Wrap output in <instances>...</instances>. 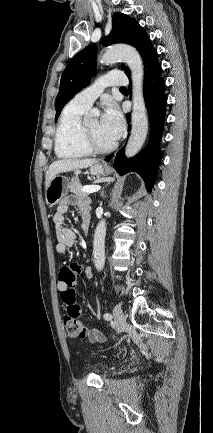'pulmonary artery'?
Wrapping results in <instances>:
<instances>
[{
	"label": "pulmonary artery",
	"mask_w": 213,
	"mask_h": 433,
	"mask_svg": "<svg viewBox=\"0 0 213 433\" xmlns=\"http://www.w3.org/2000/svg\"><path fill=\"white\" fill-rule=\"evenodd\" d=\"M128 79L123 72L111 71L98 78L91 86L77 93L71 102L88 109L92 103L100 96L104 88L110 86H126Z\"/></svg>",
	"instance_id": "e3ab8cb5"
}]
</instances>
